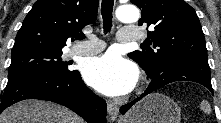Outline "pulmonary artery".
I'll return each instance as SVG.
<instances>
[{
    "mask_svg": "<svg viewBox=\"0 0 221 123\" xmlns=\"http://www.w3.org/2000/svg\"><path fill=\"white\" fill-rule=\"evenodd\" d=\"M141 38L138 30L134 28H122L118 33V41L121 43H133ZM104 43L93 37L88 41L81 42L73 47L72 53L81 56L94 55L104 49Z\"/></svg>",
    "mask_w": 221,
    "mask_h": 123,
    "instance_id": "obj_1",
    "label": "pulmonary artery"
}]
</instances>
